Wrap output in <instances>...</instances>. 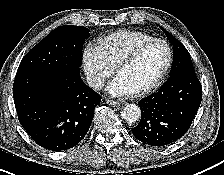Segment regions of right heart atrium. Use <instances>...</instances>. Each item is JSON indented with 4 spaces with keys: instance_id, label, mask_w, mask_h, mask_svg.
Returning <instances> with one entry per match:
<instances>
[{
    "instance_id": "obj_1",
    "label": "right heart atrium",
    "mask_w": 224,
    "mask_h": 175,
    "mask_svg": "<svg viewBox=\"0 0 224 175\" xmlns=\"http://www.w3.org/2000/svg\"><path fill=\"white\" fill-rule=\"evenodd\" d=\"M83 66L90 85L99 89L113 73L114 66L99 47L87 46L83 51Z\"/></svg>"
}]
</instances>
